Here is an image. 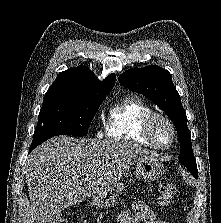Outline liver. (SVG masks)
I'll return each mask as SVG.
<instances>
[{
    "label": "liver",
    "instance_id": "6515ba94",
    "mask_svg": "<svg viewBox=\"0 0 221 223\" xmlns=\"http://www.w3.org/2000/svg\"><path fill=\"white\" fill-rule=\"evenodd\" d=\"M155 156L127 141L57 136L44 142L26 161L30 205L23 223H57L64 208L104 193L134 162Z\"/></svg>",
    "mask_w": 221,
    "mask_h": 223
}]
</instances>
